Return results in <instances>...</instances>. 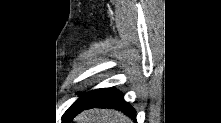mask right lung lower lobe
Instances as JSON below:
<instances>
[{
    "label": "right lung lower lobe",
    "mask_w": 221,
    "mask_h": 123,
    "mask_svg": "<svg viewBox=\"0 0 221 123\" xmlns=\"http://www.w3.org/2000/svg\"><path fill=\"white\" fill-rule=\"evenodd\" d=\"M94 107L126 111L131 113V115L129 116H131L132 119L135 120V111L133 110V108L124 101L123 95L120 92L112 88L95 90L91 102L87 106H85L83 110ZM64 118L70 121L74 117H68L64 114Z\"/></svg>",
    "instance_id": "obj_1"
}]
</instances>
